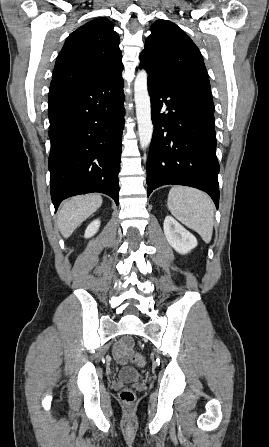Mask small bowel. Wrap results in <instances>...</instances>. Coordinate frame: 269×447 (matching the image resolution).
I'll return each mask as SVG.
<instances>
[{
  "label": "small bowel",
  "instance_id": "small-bowel-1",
  "mask_svg": "<svg viewBox=\"0 0 269 447\" xmlns=\"http://www.w3.org/2000/svg\"><path fill=\"white\" fill-rule=\"evenodd\" d=\"M127 337H130V334H127ZM127 347L124 345L123 342H121L119 344V346L116 347L115 351H114V355L117 358V360L120 363H125L126 362V351H127Z\"/></svg>",
  "mask_w": 269,
  "mask_h": 447
}]
</instances>
